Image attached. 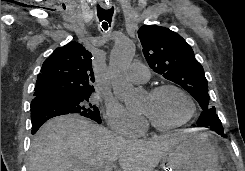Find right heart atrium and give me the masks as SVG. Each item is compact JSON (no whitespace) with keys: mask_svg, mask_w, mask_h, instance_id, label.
Instances as JSON below:
<instances>
[{"mask_svg":"<svg viewBox=\"0 0 245 171\" xmlns=\"http://www.w3.org/2000/svg\"><path fill=\"white\" fill-rule=\"evenodd\" d=\"M105 119L114 132L128 138L138 137L146 128V120L142 116L130 113L117 102L107 104Z\"/></svg>","mask_w":245,"mask_h":171,"instance_id":"d8ad5b80","label":"right heart atrium"}]
</instances>
